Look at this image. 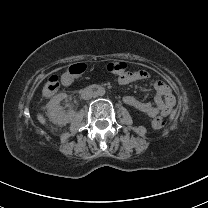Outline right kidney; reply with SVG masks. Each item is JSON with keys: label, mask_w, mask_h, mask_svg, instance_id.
I'll list each match as a JSON object with an SVG mask.
<instances>
[{"label": "right kidney", "mask_w": 208, "mask_h": 208, "mask_svg": "<svg viewBox=\"0 0 208 208\" xmlns=\"http://www.w3.org/2000/svg\"><path fill=\"white\" fill-rule=\"evenodd\" d=\"M65 98H67L66 93H59L55 95L47 104L49 118L54 124L65 125L72 120L73 114L66 113L59 105Z\"/></svg>", "instance_id": "obj_1"}]
</instances>
